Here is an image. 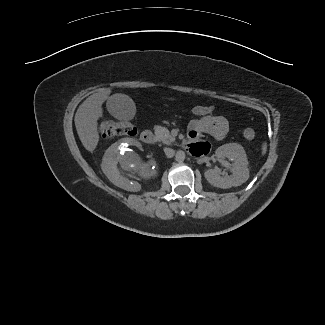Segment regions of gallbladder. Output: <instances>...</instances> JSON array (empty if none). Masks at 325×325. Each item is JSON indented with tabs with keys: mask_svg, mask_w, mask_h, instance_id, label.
<instances>
[{
	"mask_svg": "<svg viewBox=\"0 0 325 325\" xmlns=\"http://www.w3.org/2000/svg\"><path fill=\"white\" fill-rule=\"evenodd\" d=\"M107 109L118 120H131L136 113L134 103L127 98H120L118 101H108Z\"/></svg>",
	"mask_w": 325,
	"mask_h": 325,
	"instance_id": "gallbladder-1",
	"label": "gallbladder"
}]
</instances>
